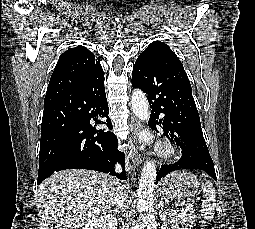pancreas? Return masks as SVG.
Segmentation results:
<instances>
[{"mask_svg":"<svg viewBox=\"0 0 255 229\" xmlns=\"http://www.w3.org/2000/svg\"><path fill=\"white\" fill-rule=\"evenodd\" d=\"M195 219V212L194 210L189 211H182L180 213L177 212V214L170 215V228L169 229H178V226L185 225L189 226L190 223L194 222Z\"/></svg>","mask_w":255,"mask_h":229,"instance_id":"cf45deb5","label":"pancreas"}]
</instances>
